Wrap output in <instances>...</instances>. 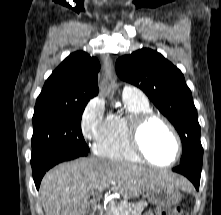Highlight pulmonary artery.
Instances as JSON below:
<instances>
[{"mask_svg":"<svg viewBox=\"0 0 221 215\" xmlns=\"http://www.w3.org/2000/svg\"><path fill=\"white\" fill-rule=\"evenodd\" d=\"M122 95L133 98H145V95L138 88L126 85L122 89Z\"/></svg>","mask_w":221,"mask_h":215,"instance_id":"e3ab8cb5","label":"pulmonary artery"}]
</instances>
